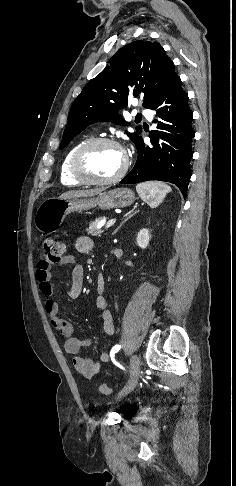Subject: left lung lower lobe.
Wrapping results in <instances>:
<instances>
[{
    "mask_svg": "<svg viewBox=\"0 0 236 486\" xmlns=\"http://www.w3.org/2000/svg\"><path fill=\"white\" fill-rule=\"evenodd\" d=\"M164 101L170 106L162 107ZM148 108L155 110L159 119L171 123L166 125L161 121H154L159 123L157 127L159 130L165 129L170 133L158 130L151 132V146H145L141 137L136 142L138 150L136 164L120 183L166 181L175 184L186 198L191 177L190 160L193 155L191 145L195 132L191 125L193 112L188 104V94L181 87L180 78L177 77L167 84ZM158 137L166 143L160 146Z\"/></svg>",
    "mask_w": 236,
    "mask_h": 486,
    "instance_id": "0a47b994",
    "label": "left lung lower lobe"
}]
</instances>
